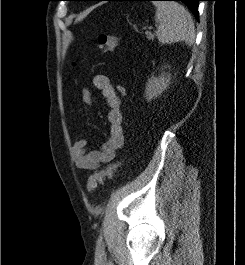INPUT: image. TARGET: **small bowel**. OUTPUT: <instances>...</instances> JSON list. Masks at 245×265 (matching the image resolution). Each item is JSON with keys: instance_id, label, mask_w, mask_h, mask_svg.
<instances>
[{"instance_id": "obj_1", "label": "small bowel", "mask_w": 245, "mask_h": 265, "mask_svg": "<svg viewBox=\"0 0 245 265\" xmlns=\"http://www.w3.org/2000/svg\"><path fill=\"white\" fill-rule=\"evenodd\" d=\"M93 85L101 92L109 111L108 140L99 150H87V141L84 138L77 139L72 147V158L77 168L83 170H95L102 164L112 161L118 150L124 145L123 115L121 111V99L111 80L101 74L94 75ZM82 101L87 105H93L94 98L89 89H82Z\"/></svg>"}]
</instances>
